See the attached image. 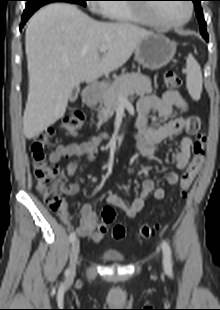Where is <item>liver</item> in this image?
<instances>
[{
    "label": "liver",
    "instance_id": "6515ba94",
    "mask_svg": "<svg viewBox=\"0 0 220 310\" xmlns=\"http://www.w3.org/2000/svg\"><path fill=\"white\" fill-rule=\"evenodd\" d=\"M153 32L128 23L98 22L76 6L53 3L30 19L25 34L29 76L23 116L27 139L62 118L72 89L123 66ZM101 47L107 48L99 57Z\"/></svg>",
    "mask_w": 220,
    "mask_h": 310
}]
</instances>
